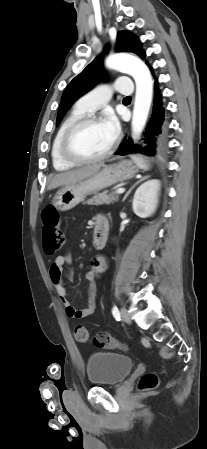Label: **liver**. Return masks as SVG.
I'll return each mask as SVG.
<instances>
[{"label":"liver","mask_w":207,"mask_h":449,"mask_svg":"<svg viewBox=\"0 0 207 449\" xmlns=\"http://www.w3.org/2000/svg\"><path fill=\"white\" fill-rule=\"evenodd\" d=\"M101 168L100 164L90 165L72 171H67L55 175L49 183L48 190L55 189L60 186H68L77 183L93 174Z\"/></svg>","instance_id":"6515ba94"}]
</instances>
